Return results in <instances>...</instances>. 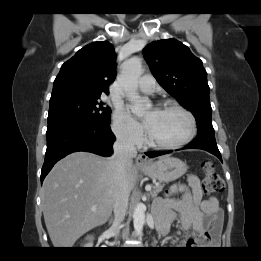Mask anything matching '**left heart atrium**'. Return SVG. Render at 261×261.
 Returning a JSON list of instances; mask_svg holds the SVG:
<instances>
[{"label": "left heart atrium", "mask_w": 261, "mask_h": 261, "mask_svg": "<svg viewBox=\"0 0 261 261\" xmlns=\"http://www.w3.org/2000/svg\"><path fill=\"white\" fill-rule=\"evenodd\" d=\"M156 114L157 111H154L149 116H147V118L144 120V126L147 130H149L152 127Z\"/></svg>", "instance_id": "left-heart-atrium-1"}]
</instances>
